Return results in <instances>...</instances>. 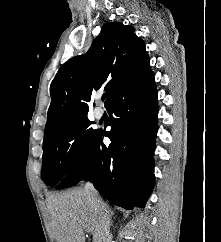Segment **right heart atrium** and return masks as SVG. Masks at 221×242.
I'll return each mask as SVG.
<instances>
[{
    "instance_id": "1",
    "label": "right heart atrium",
    "mask_w": 221,
    "mask_h": 242,
    "mask_svg": "<svg viewBox=\"0 0 221 242\" xmlns=\"http://www.w3.org/2000/svg\"><path fill=\"white\" fill-rule=\"evenodd\" d=\"M67 157L72 166H77L83 161L85 146L80 136H74L68 143Z\"/></svg>"
}]
</instances>
